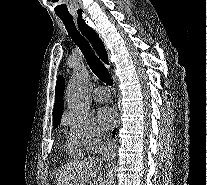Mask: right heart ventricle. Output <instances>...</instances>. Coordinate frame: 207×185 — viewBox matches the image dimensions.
Instances as JSON below:
<instances>
[{"instance_id": "e07e8e85", "label": "right heart ventricle", "mask_w": 207, "mask_h": 185, "mask_svg": "<svg viewBox=\"0 0 207 185\" xmlns=\"http://www.w3.org/2000/svg\"><path fill=\"white\" fill-rule=\"evenodd\" d=\"M68 152L72 156H81L82 155V148L81 144L75 140L74 138L70 139L67 143Z\"/></svg>"}]
</instances>
